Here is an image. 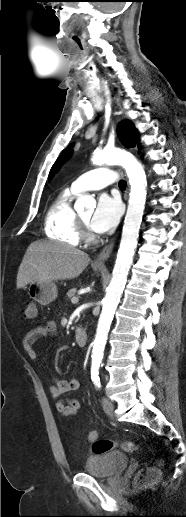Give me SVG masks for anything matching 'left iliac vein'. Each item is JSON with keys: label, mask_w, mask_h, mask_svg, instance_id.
<instances>
[{"label": "left iliac vein", "mask_w": 186, "mask_h": 517, "mask_svg": "<svg viewBox=\"0 0 186 517\" xmlns=\"http://www.w3.org/2000/svg\"><path fill=\"white\" fill-rule=\"evenodd\" d=\"M102 406H103V409H104L105 413L108 416H110L111 418H114L115 414H114V404H113V402L110 399L104 397L102 399Z\"/></svg>", "instance_id": "left-iliac-vein-1"}]
</instances>
